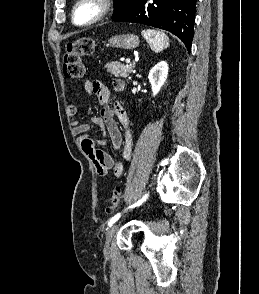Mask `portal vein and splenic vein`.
<instances>
[{
    "label": "portal vein and splenic vein",
    "instance_id": "portal-vein-and-splenic-vein-1",
    "mask_svg": "<svg viewBox=\"0 0 259 294\" xmlns=\"http://www.w3.org/2000/svg\"><path fill=\"white\" fill-rule=\"evenodd\" d=\"M131 61L130 59H126V63L129 64Z\"/></svg>",
    "mask_w": 259,
    "mask_h": 294
}]
</instances>
